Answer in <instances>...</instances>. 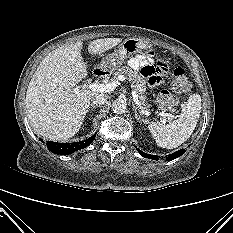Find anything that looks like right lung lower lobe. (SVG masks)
<instances>
[{"mask_svg":"<svg viewBox=\"0 0 233 233\" xmlns=\"http://www.w3.org/2000/svg\"><path fill=\"white\" fill-rule=\"evenodd\" d=\"M95 137L96 134H94L92 137L84 141L73 142V143H58V142L48 141L46 145L47 148L54 154L69 155L74 153L75 151H78L80 149L89 146L93 142ZM40 140L42 141V139Z\"/></svg>","mask_w":233,"mask_h":233,"instance_id":"1","label":"right lung lower lobe"}]
</instances>
